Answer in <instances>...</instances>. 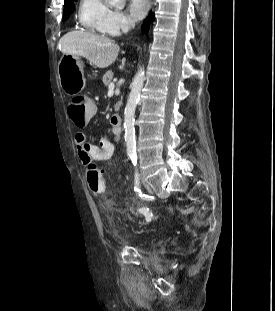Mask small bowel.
<instances>
[{"label": "small bowel", "instance_id": "c3829d8e", "mask_svg": "<svg viewBox=\"0 0 275 311\" xmlns=\"http://www.w3.org/2000/svg\"><path fill=\"white\" fill-rule=\"evenodd\" d=\"M108 133L109 136H102L97 142L89 141L84 132L75 133L74 144L79 159L84 166H88L93 162H104L111 159L121 136V127L112 124Z\"/></svg>", "mask_w": 275, "mask_h": 311}]
</instances>
